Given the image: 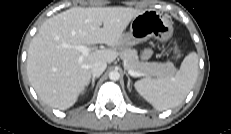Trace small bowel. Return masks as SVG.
I'll return each instance as SVG.
<instances>
[{"instance_id":"c3829d8e","label":"small bowel","mask_w":231,"mask_h":134,"mask_svg":"<svg viewBox=\"0 0 231 134\" xmlns=\"http://www.w3.org/2000/svg\"><path fill=\"white\" fill-rule=\"evenodd\" d=\"M151 55H152V50H151V49H145V50H143L142 53H141V56H142V58H144V59L150 58Z\"/></svg>"}]
</instances>
